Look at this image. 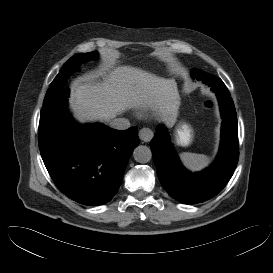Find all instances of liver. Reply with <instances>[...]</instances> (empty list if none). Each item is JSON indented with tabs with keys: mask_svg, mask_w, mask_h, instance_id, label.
I'll return each instance as SVG.
<instances>
[{
	"mask_svg": "<svg viewBox=\"0 0 273 273\" xmlns=\"http://www.w3.org/2000/svg\"><path fill=\"white\" fill-rule=\"evenodd\" d=\"M174 80L131 66H118L102 81L90 77L71 85V106L81 122H109L130 108H150L160 120L174 122L176 112Z\"/></svg>",
	"mask_w": 273,
	"mask_h": 273,
	"instance_id": "liver-1",
	"label": "liver"
}]
</instances>
